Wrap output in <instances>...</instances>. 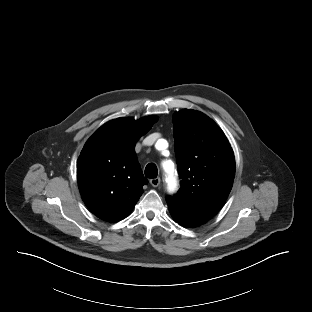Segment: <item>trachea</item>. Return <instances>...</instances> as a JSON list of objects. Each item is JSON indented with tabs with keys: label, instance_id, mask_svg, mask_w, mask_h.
I'll return each instance as SVG.
<instances>
[{
	"label": "trachea",
	"instance_id": "obj_1",
	"mask_svg": "<svg viewBox=\"0 0 312 312\" xmlns=\"http://www.w3.org/2000/svg\"><path fill=\"white\" fill-rule=\"evenodd\" d=\"M158 175V170L155 164H148L145 168V176L148 178H156Z\"/></svg>",
	"mask_w": 312,
	"mask_h": 312
}]
</instances>
